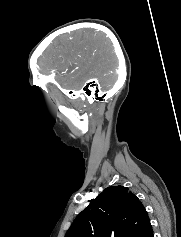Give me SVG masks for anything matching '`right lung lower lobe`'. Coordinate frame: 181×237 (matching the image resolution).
<instances>
[{"label":"right lung lower lobe","mask_w":181,"mask_h":237,"mask_svg":"<svg viewBox=\"0 0 181 237\" xmlns=\"http://www.w3.org/2000/svg\"><path fill=\"white\" fill-rule=\"evenodd\" d=\"M150 237H154L153 232H152V234L150 235Z\"/></svg>","instance_id":"1"}]
</instances>
